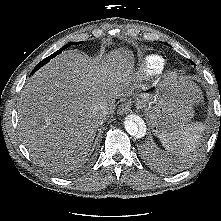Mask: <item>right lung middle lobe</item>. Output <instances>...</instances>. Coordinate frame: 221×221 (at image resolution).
<instances>
[{
    "mask_svg": "<svg viewBox=\"0 0 221 221\" xmlns=\"http://www.w3.org/2000/svg\"><path fill=\"white\" fill-rule=\"evenodd\" d=\"M82 42H71L66 44L64 47H62L61 49H59L58 51H56L55 53H53L52 55L48 56L47 58H45L44 60H42L40 63H38L35 67V69L32 71V74L38 70L39 68H41L43 65H45L51 58L55 57L56 55H58L59 53L62 52V50L66 49L67 47H69L70 45H76V44H80Z\"/></svg>",
    "mask_w": 221,
    "mask_h": 221,
    "instance_id": "obj_1",
    "label": "right lung middle lobe"
}]
</instances>
